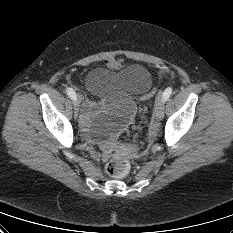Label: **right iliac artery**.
I'll return each mask as SVG.
<instances>
[{
  "label": "right iliac artery",
  "mask_w": 233,
  "mask_h": 233,
  "mask_svg": "<svg viewBox=\"0 0 233 233\" xmlns=\"http://www.w3.org/2000/svg\"><path fill=\"white\" fill-rule=\"evenodd\" d=\"M66 92L68 94V96L72 99L75 100L76 99V93L72 88H66Z\"/></svg>",
  "instance_id": "right-iliac-artery-1"
}]
</instances>
